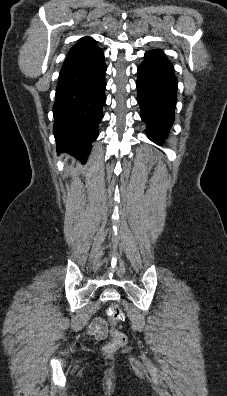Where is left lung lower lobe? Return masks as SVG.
Here are the masks:
<instances>
[{"label": "left lung lower lobe", "mask_w": 227, "mask_h": 396, "mask_svg": "<svg viewBox=\"0 0 227 396\" xmlns=\"http://www.w3.org/2000/svg\"><path fill=\"white\" fill-rule=\"evenodd\" d=\"M144 57L137 70V101L141 107V118L147 124L148 137L160 143L174 121L177 80L173 65L162 50H150Z\"/></svg>", "instance_id": "1"}]
</instances>
